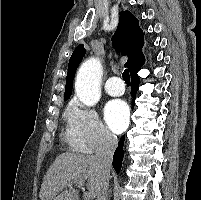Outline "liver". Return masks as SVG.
Returning <instances> with one entry per match:
<instances>
[{
	"instance_id": "6515ba94",
	"label": "liver",
	"mask_w": 201,
	"mask_h": 200,
	"mask_svg": "<svg viewBox=\"0 0 201 200\" xmlns=\"http://www.w3.org/2000/svg\"><path fill=\"white\" fill-rule=\"evenodd\" d=\"M101 180L102 170L95 156L62 153L44 176L39 197L40 200H79V193L73 188V183L84 181H87L91 196L96 197Z\"/></svg>"
}]
</instances>
